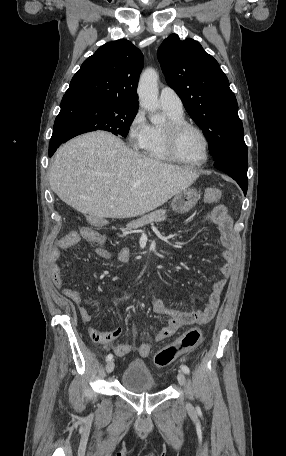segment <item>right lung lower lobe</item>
Instances as JSON below:
<instances>
[{
	"label": "right lung lower lobe",
	"instance_id": "1",
	"mask_svg": "<svg viewBox=\"0 0 286 456\" xmlns=\"http://www.w3.org/2000/svg\"><path fill=\"white\" fill-rule=\"evenodd\" d=\"M74 98L75 97H63V99L61 101V111H60L59 115L55 119L54 128H53V134H52V137H51V140H50V144H49V156L50 157L54 154L56 149L63 142L62 140H58L56 138L57 129H58L59 125L61 124V122L63 121V117L66 114V106Z\"/></svg>",
	"mask_w": 286,
	"mask_h": 456
}]
</instances>
